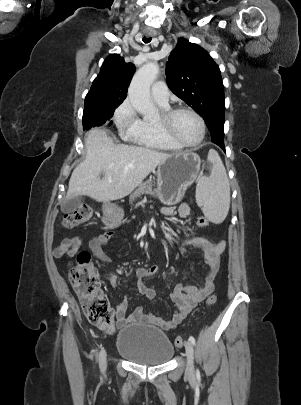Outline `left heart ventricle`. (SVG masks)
Here are the masks:
<instances>
[{
  "mask_svg": "<svg viewBox=\"0 0 301 405\" xmlns=\"http://www.w3.org/2000/svg\"><path fill=\"white\" fill-rule=\"evenodd\" d=\"M175 135L185 143H194L200 137V125L197 119L188 112H182L175 116L172 123Z\"/></svg>",
  "mask_w": 301,
  "mask_h": 405,
  "instance_id": "left-heart-ventricle-1",
  "label": "left heart ventricle"
}]
</instances>
